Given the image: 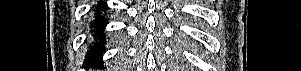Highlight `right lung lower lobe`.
<instances>
[{
  "label": "right lung lower lobe",
  "mask_w": 301,
  "mask_h": 71,
  "mask_svg": "<svg viewBox=\"0 0 301 71\" xmlns=\"http://www.w3.org/2000/svg\"><path fill=\"white\" fill-rule=\"evenodd\" d=\"M106 10V4L103 1L98 2V5L93 9L94 15L90 23V30L94 37V42L86 56L87 60L92 63L94 61L101 63V57L104 49L103 45L106 40L103 33L107 22Z\"/></svg>",
  "instance_id": "1"
}]
</instances>
